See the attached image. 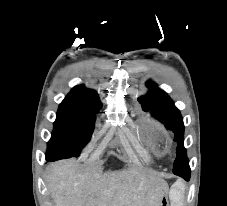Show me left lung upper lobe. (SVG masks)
I'll list each match as a JSON object with an SVG mask.
<instances>
[{
    "instance_id": "obj_1",
    "label": "left lung upper lobe",
    "mask_w": 227,
    "mask_h": 206,
    "mask_svg": "<svg viewBox=\"0 0 227 206\" xmlns=\"http://www.w3.org/2000/svg\"><path fill=\"white\" fill-rule=\"evenodd\" d=\"M147 86L150 93L139 97L138 101L141 103L143 110L151 111V114L164 123L167 129L174 132V140L178 143L173 172L190 170L186 150L183 146L184 124L180 111L175 107L174 102L167 93L157 88L155 83L148 81Z\"/></svg>"
}]
</instances>
